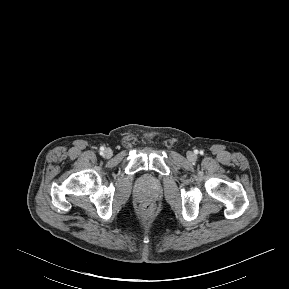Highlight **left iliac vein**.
I'll use <instances>...</instances> for the list:
<instances>
[{
  "mask_svg": "<svg viewBox=\"0 0 289 289\" xmlns=\"http://www.w3.org/2000/svg\"><path fill=\"white\" fill-rule=\"evenodd\" d=\"M194 157H195V156H194L193 153H189V154H188V158H189V159H194Z\"/></svg>",
  "mask_w": 289,
  "mask_h": 289,
  "instance_id": "left-iliac-vein-1",
  "label": "left iliac vein"
}]
</instances>
